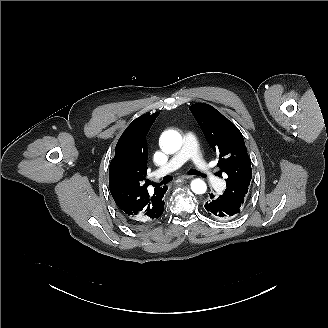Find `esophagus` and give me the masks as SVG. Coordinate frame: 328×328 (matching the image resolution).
<instances>
[{
  "label": "esophagus",
  "mask_w": 328,
  "mask_h": 328,
  "mask_svg": "<svg viewBox=\"0 0 328 328\" xmlns=\"http://www.w3.org/2000/svg\"><path fill=\"white\" fill-rule=\"evenodd\" d=\"M192 176H189V175H182V176H179V179H191Z\"/></svg>",
  "instance_id": "obj_1"
}]
</instances>
